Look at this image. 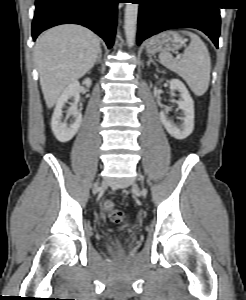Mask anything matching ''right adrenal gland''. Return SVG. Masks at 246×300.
<instances>
[{
  "label": "right adrenal gland",
  "instance_id": "right-adrenal-gland-1",
  "mask_svg": "<svg viewBox=\"0 0 246 300\" xmlns=\"http://www.w3.org/2000/svg\"><path fill=\"white\" fill-rule=\"evenodd\" d=\"M101 57H102V51L99 52V55H98V57L96 59L95 64L98 63V62H101Z\"/></svg>",
  "mask_w": 246,
  "mask_h": 300
}]
</instances>
